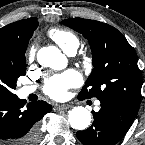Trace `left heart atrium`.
Instances as JSON below:
<instances>
[{
  "label": "left heart atrium",
  "mask_w": 145,
  "mask_h": 145,
  "mask_svg": "<svg viewBox=\"0 0 145 145\" xmlns=\"http://www.w3.org/2000/svg\"><path fill=\"white\" fill-rule=\"evenodd\" d=\"M81 76L75 70H69L53 77L45 88L46 94L55 99L67 97L68 89L79 85Z\"/></svg>",
  "instance_id": "1"
}]
</instances>
